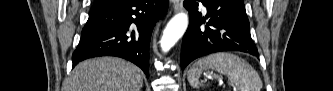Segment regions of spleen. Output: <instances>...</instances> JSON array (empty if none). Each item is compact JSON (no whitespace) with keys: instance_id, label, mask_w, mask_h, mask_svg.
<instances>
[{"instance_id":"obj_1","label":"spleen","mask_w":333,"mask_h":91,"mask_svg":"<svg viewBox=\"0 0 333 91\" xmlns=\"http://www.w3.org/2000/svg\"><path fill=\"white\" fill-rule=\"evenodd\" d=\"M212 69L228 77L238 91H260L263 82L256 70L244 59L229 52L211 54L195 62L188 71V81L194 88L203 86L199 81L203 70Z\"/></svg>"}]
</instances>
